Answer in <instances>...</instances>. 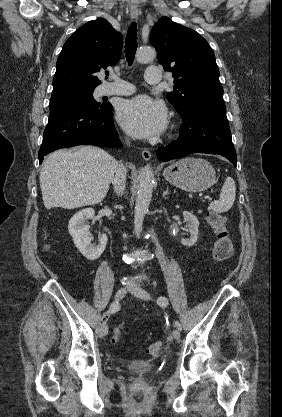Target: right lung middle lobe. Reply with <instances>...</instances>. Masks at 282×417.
Instances as JSON below:
<instances>
[{
	"instance_id": "1",
	"label": "right lung middle lobe",
	"mask_w": 282,
	"mask_h": 417,
	"mask_svg": "<svg viewBox=\"0 0 282 417\" xmlns=\"http://www.w3.org/2000/svg\"><path fill=\"white\" fill-rule=\"evenodd\" d=\"M93 91L94 89H83L52 94L50 100V110L73 103L100 106L101 103L96 102L93 98Z\"/></svg>"
}]
</instances>
